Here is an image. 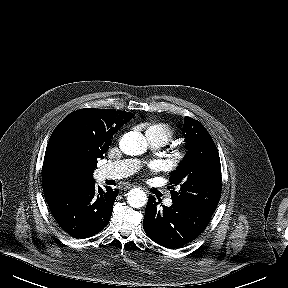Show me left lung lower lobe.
Listing matches in <instances>:
<instances>
[{
  "mask_svg": "<svg viewBox=\"0 0 288 288\" xmlns=\"http://www.w3.org/2000/svg\"><path fill=\"white\" fill-rule=\"evenodd\" d=\"M212 215L201 208L175 201L170 207L159 209L155 197L149 196L143 228L154 242L175 249L197 238Z\"/></svg>",
  "mask_w": 288,
  "mask_h": 288,
  "instance_id": "left-lung-lower-lobe-1",
  "label": "left lung lower lobe"
}]
</instances>
